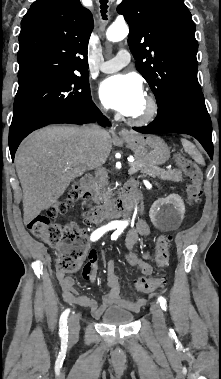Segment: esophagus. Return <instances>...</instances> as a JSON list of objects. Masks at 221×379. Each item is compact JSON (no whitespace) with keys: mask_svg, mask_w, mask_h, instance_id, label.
I'll list each match as a JSON object with an SVG mask.
<instances>
[{"mask_svg":"<svg viewBox=\"0 0 221 379\" xmlns=\"http://www.w3.org/2000/svg\"><path fill=\"white\" fill-rule=\"evenodd\" d=\"M119 135L122 136V137L128 136L129 135V131L126 130V129H121L119 131Z\"/></svg>","mask_w":221,"mask_h":379,"instance_id":"esophagus-1","label":"esophagus"}]
</instances>
